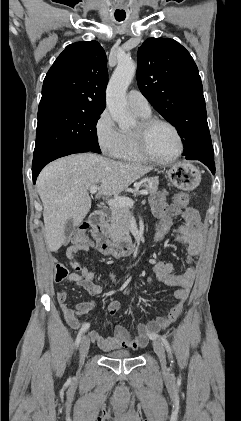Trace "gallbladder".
<instances>
[{
	"label": "gallbladder",
	"mask_w": 241,
	"mask_h": 421,
	"mask_svg": "<svg viewBox=\"0 0 241 421\" xmlns=\"http://www.w3.org/2000/svg\"><path fill=\"white\" fill-rule=\"evenodd\" d=\"M74 229H75L74 221L72 219H69L64 228V235H65L64 244L65 245L69 243Z\"/></svg>",
	"instance_id": "bac80fb5"
}]
</instances>
